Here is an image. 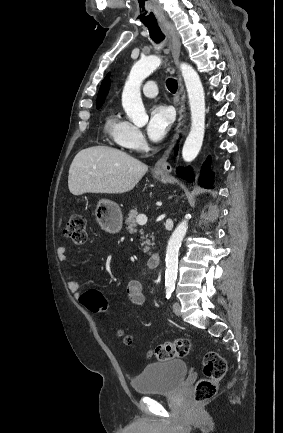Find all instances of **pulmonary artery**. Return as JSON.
<instances>
[{"label":"pulmonary artery","mask_w":283,"mask_h":433,"mask_svg":"<svg viewBox=\"0 0 283 433\" xmlns=\"http://www.w3.org/2000/svg\"><path fill=\"white\" fill-rule=\"evenodd\" d=\"M142 92L145 96L153 98L157 96V90L155 88V81L148 80L142 87Z\"/></svg>","instance_id":"1"}]
</instances>
